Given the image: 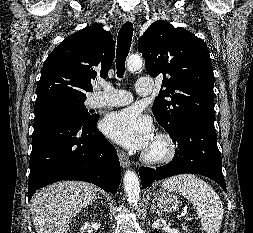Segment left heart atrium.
I'll return each mask as SVG.
<instances>
[{"mask_svg":"<svg viewBox=\"0 0 253 233\" xmlns=\"http://www.w3.org/2000/svg\"><path fill=\"white\" fill-rule=\"evenodd\" d=\"M102 130L110 139L132 150L148 147L153 139L151 120L134 108L108 115Z\"/></svg>","mask_w":253,"mask_h":233,"instance_id":"obj_1","label":"left heart atrium"}]
</instances>
